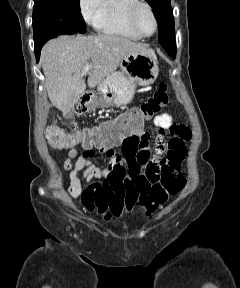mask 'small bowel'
<instances>
[{"label": "small bowel", "mask_w": 240, "mask_h": 288, "mask_svg": "<svg viewBox=\"0 0 240 288\" xmlns=\"http://www.w3.org/2000/svg\"><path fill=\"white\" fill-rule=\"evenodd\" d=\"M153 122L160 134L156 155H152L150 135L145 131L114 142L83 145L80 156L76 147L68 148L63 168L70 172V196H81L88 211H97L110 219L119 216L124 209L131 210L139 196L159 183L164 174L179 170L186 155V142L192 137L191 130L174 122L167 113L156 115ZM167 133L169 137L165 138ZM118 146L121 154L115 150ZM95 149L109 159L107 167L99 168L90 160ZM81 171L87 183L94 179L104 181L82 189L78 176Z\"/></svg>", "instance_id": "obj_1"}]
</instances>
